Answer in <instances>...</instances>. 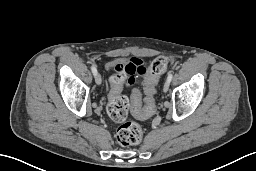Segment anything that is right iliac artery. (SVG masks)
Listing matches in <instances>:
<instances>
[{
	"label": "right iliac artery",
	"mask_w": 256,
	"mask_h": 171,
	"mask_svg": "<svg viewBox=\"0 0 256 171\" xmlns=\"http://www.w3.org/2000/svg\"><path fill=\"white\" fill-rule=\"evenodd\" d=\"M91 70H92L93 75L95 76L97 73V69L94 65H92Z\"/></svg>",
	"instance_id": "obj_1"
}]
</instances>
